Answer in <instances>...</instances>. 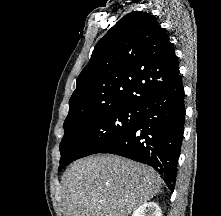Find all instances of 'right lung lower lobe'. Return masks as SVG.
<instances>
[{"label":"right lung lower lobe","instance_id":"98d812e1","mask_svg":"<svg viewBox=\"0 0 221 216\" xmlns=\"http://www.w3.org/2000/svg\"><path fill=\"white\" fill-rule=\"evenodd\" d=\"M185 120L184 88L178 74L138 109L134 126L100 153L148 164L173 191Z\"/></svg>","mask_w":221,"mask_h":216}]
</instances>
